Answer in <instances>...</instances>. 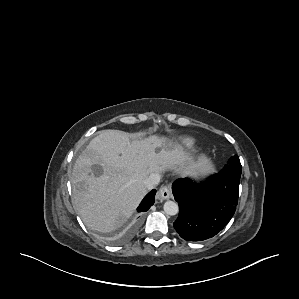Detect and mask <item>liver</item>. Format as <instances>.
Returning <instances> with one entry per match:
<instances>
[{
    "mask_svg": "<svg viewBox=\"0 0 299 299\" xmlns=\"http://www.w3.org/2000/svg\"><path fill=\"white\" fill-rule=\"evenodd\" d=\"M192 161L166 136L131 141L123 131L103 130L75 161L71 175L74 207L88 228L111 232L134 213L147 192L143 182L150 174L187 163L186 175L210 168L205 159ZM98 166L100 173L95 175Z\"/></svg>",
    "mask_w": 299,
    "mask_h": 299,
    "instance_id": "obj_1",
    "label": "liver"
}]
</instances>
